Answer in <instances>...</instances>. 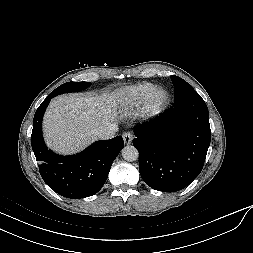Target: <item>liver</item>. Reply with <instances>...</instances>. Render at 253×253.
<instances>
[{
    "label": "liver",
    "instance_id": "6515ba94",
    "mask_svg": "<svg viewBox=\"0 0 253 253\" xmlns=\"http://www.w3.org/2000/svg\"><path fill=\"white\" fill-rule=\"evenodd\" d=\"M115 101L111 96L84 94L54 98L43 120L47 146L60 154H73L98 139L95 129L115 121Z\"/></svg>",
    "mask_w": 253,
    "mask_h": 253
}]
</instances>
